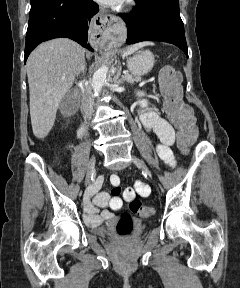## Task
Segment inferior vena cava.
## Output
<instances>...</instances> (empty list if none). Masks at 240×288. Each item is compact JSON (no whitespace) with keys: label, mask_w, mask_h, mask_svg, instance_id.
Returning a JSON list of instances; mask_svg holds the SVG:
<instances>
[{"label":"inferior vena cava","mask_w":240,"mask_h":288,"mask_svg":"<svg viewBox=\"0 0 240 288\" xmlns=\"http://www.w3.org/2000/svg\"><path fill=\"white\" fill-rule=\"evenodd\" d=\"M82 85V98H81V106L84 112V116L90 118L93 114V100H92V92L89 84L85 82L81 83Z\"/></svg>","instance_id":"obj_1"}]
</instances>
